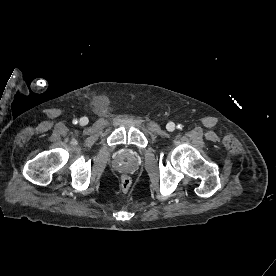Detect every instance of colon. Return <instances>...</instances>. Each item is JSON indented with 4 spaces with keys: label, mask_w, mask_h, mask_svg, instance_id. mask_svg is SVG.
Returning <instances> with one entry per match:
<instances>
[{
    "label": "colon",
    "mask_w": 276,
    "mask_h": 276,
    "mask_svg": "<svg viewBox=\"0 0 276 276\" xmlns=\"http://www.w3.org/2000/svg\"><path fill=\"white\" fill-rule=\"evenodd\" d=\"M131 179L126 176V175H123L121 178H120V188L122 191L126 192L130 189L131 187Z\"/></svg>",
    "instance_id": "1"
}]
</instances>
